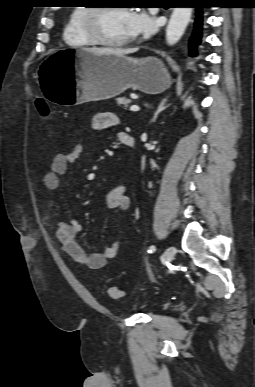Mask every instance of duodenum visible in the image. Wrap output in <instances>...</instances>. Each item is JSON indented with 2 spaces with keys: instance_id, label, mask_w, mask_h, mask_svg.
<instances>
[{
  "instance_id": "1",
  "label": "duodenum",
  "mask_w": 255,
  "mask_h": 387,
  "mask_svg": "<svg viewBox=\"0 0 255 387\" xmlns=\"http://www.w3.org/2000/svg\"><path fill=\"white\" fill-rule=\"evenodd\" d=\"M121 142L128 146V147H133L134 146V138L132 135L122 132L119 136Z\"/></svg>"
}]
</instances>
